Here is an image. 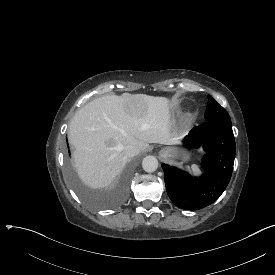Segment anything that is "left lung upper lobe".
Wrapping results in <instances>:
<instances>
[{
    "label": "left lung upper lobe",
    "instance_id": "left-lung-upper-lobe-1",
    "mask_svg": "<svg viewBox=\"0 0 275 275\" xmlns=\"http://www.w3.org/2000/svg\"><path fill=\"white\" fill-rule=\"evenodd\" d=\"M205 118L209 120H219L231 123V119L226 110L220 106L211 96L208 95V104L205 112Z\"/></svg>",
    "mask_w": 275,
    "mask_h": 275
}]
</instances>
